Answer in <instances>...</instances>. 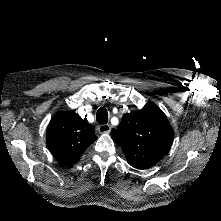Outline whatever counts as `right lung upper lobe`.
Here are the masks:
<instances>
[{
    "label": "right lung upper lobe",
    "instance_id": "obj_1",
    "mask_svg": "<svg viewBox=\"0 0 221 221\" xmlns=\"http://www.w3.org/2000/svg\"><path fill=\"white\" fill-rule=\"evenodd\" d=\"M96 139L92 125L75 112L57 113L46 133L47 146L57 161L65 166L75 164Z\"/></svg>",
    "mask_w": 221,
    "mask_h": 221
}]
</instances>
